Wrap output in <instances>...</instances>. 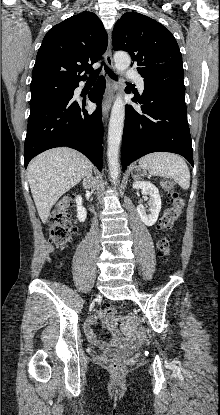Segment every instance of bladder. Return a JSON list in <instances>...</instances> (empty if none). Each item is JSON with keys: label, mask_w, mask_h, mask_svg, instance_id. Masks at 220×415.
<instances>
[{"label": "bladder", "mask_w": 220, "mask_h": 415, "mask_svg": "<svg viewBox=\"0 0 220 415\" xmlns=\"http://www.w3.org/2000/svg\"><path fill=\"white\" fill-rule=\"evenodd\" d=\"M141 347H123L114 348L107 352V355L112 358H129L139 352Z\"/></svg>", "instance_id": "bladder-1"}]
</instances>
